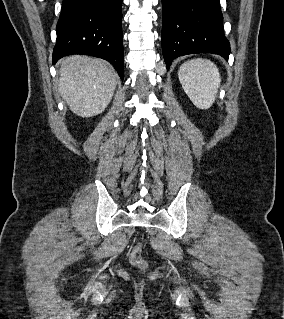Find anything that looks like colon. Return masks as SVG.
<instances>
[{"label":"colon","mask_w":284,"mask_h":319,"mask_svg":"<svg viewBox=\"0 0 284 319\" xmlns=\"http://www.w3.org/2000/svg\"><path fill=\"white\" fill-rule=\"evenodd\" d=\"M142 251H143V248L141 244L134 246L132 250L130 251L129 258H130L131 264L141 269H144L146 268L147 264L142 257Z\"/></svg>","instance_id":"1"}]
</instances>
